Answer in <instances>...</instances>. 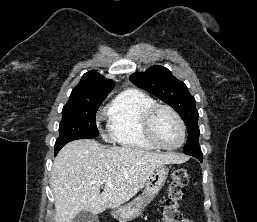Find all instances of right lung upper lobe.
I'll return each mask as SVG.
<instances>
[{
  "label": "right lung upper lobe",
  "instance_id": "cb5924a9",
  "mask_svg": "<svg viewBox=\"0 0 257 222\" xmlns=\"http://www.w3.org/2000/svg\"><path fill=\"white\" fill-rule=\"evenodd\" d=\"M114 88V82L95 71L85 73L72 90L69 101L85 98L107 97Z\"/></svg>",
  "mask_w": 257,
  "mask_h": 222
}]
</instances>
